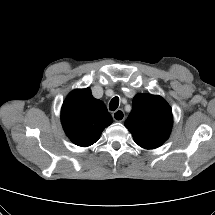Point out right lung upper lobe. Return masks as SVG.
<instances>
[{
    "instance_id": "obj_1",
    "label": "right lung upper lobe",
    "mask_w": 215,
    "mask_h": 215,
    "mask_svg": "<svg viewBox=\"0 0 215 215\" xmlns=\"http://www.w3.org/2000/svg\"><path fill=\"white\" fill-rule=\"evenodd\" d=\"M61 122L66 135L76 145L94 144L112 123L105 104L95 99L89 88L74 90L63 102Z\"/></svg>"
}]
</instances>
